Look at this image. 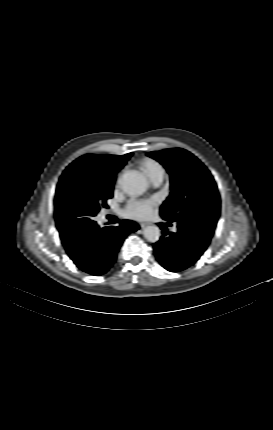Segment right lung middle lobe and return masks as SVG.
I'll use <instances>...</instances> for the list:
<instances>
[{
    "label": "right lung middle lobe",
    "instance_id": "dd1d6c3e",
    "mask_svg": "<svg viewBox=\"0 0 273 430\" xmlns=\"http://www.w3.org/2000/svg\"><path fill=\"white\" fill-rule=\"evenodd\" d=\"M114 180L92 181L66 169L57 186L55 220L61 237L80 235L95 221L93 217L113 196Z\"/></svg>",
    "mask_w": 273,
    "mask_h": 430
}]
</instances>
